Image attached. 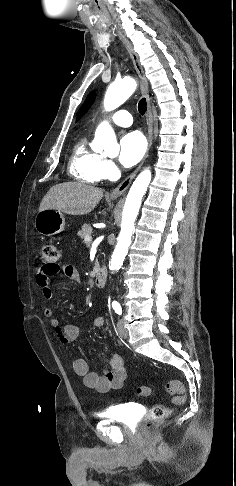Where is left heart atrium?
I'll return each mask as SVG.
<instances>
[{
    "label": "left heart atrium",
    "instance_id": "1",
    "mask_svg": "<svg viewBox=\"0 0 236 486\" xmlns=\"http://www.w3.org/2000/svg\"><path fill=\"white\" fill-rule=\"evenodd\" d=\"M119 161L125 167H131L141 160L146 151V141L137 131L125 134L119 142Z\"/></svg>",
    "mask_w": 236,
    "mask_h": 486
}]
</instances>
